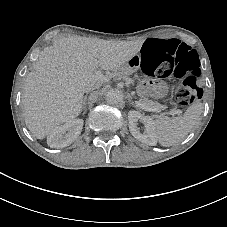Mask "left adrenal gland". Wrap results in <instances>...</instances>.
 <instances>
[{"label": "left adrenal gland", "instance_id": "a2214340", "mask_svg": "<svg viewBox=\"0 0 227 227\" xmlns=\"http://www.w3.org/2000/svg\"><path fill=\"white\" fill-rule=\"evenodd\" d=\"M129 102H130V104L132 106H134L135 108L139 109L138 105L135 102L132 101V98L131 97L129 98Z\"/></svg>", "mask_w": 227, "mask_h": 227}]
</instances>
